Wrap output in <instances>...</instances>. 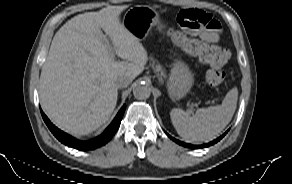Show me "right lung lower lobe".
<instances>
[{
	"instance_id": "1",
	"label": "right lung lower lobe",
	"mask_w": 292,
	"mask_h": 184,
	"mask_svg": "<svg viewBox=\"0 0 292 184\" xmlns=\"http://www.w3.org/2000/svg\"><path fill=\"white\" fill-rule=\"evenodd\" d=\"M43 120L45 121L46 125L50 129V131L53 133V135L63 144L73 147L75 149L85 151V150H93L95 148L101 147L105 145L116 133L120 126V122L122 120L124 111H125V105L122 106L118 114L116 115L115 119L112 121V123L107 127V129L98 137L89 140V141H80L76 138L68 135L67 133H64L57 127H55L50 120L46 117V115L43 113V111L40 109Z\"/></svg>"
}]
</instances>
